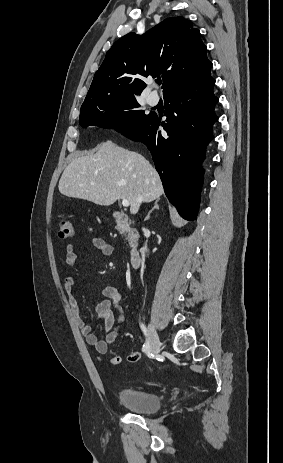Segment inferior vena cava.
<instances>
[{"label":"inferior vena cava","mask_w":283,"mask_h":463,"mask_svg":"<svg viewBox=\"0 0 283 463\" xmlns=\"http://www.w3.org/2000/svg\"><path fill=\"white\" fill-rule=\"evenodd\" d=\"M145 231V229H143ZM142 251L143 252H148V248H147V244H145V246L142 248Z\"/></svg>","instance_id":"inferior-vena-cava-1"}]
</instances>
